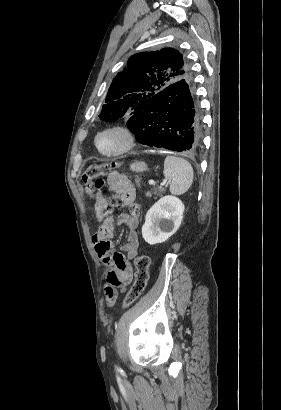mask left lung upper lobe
<instances>
[{
  "instance_id": "1",
  "label": "left lung upper lobe",
  "mask_w": 281,
  "mask_h": 410,
  "mask_svg": "<svg viewBox=\"0 0 281 410\" xmlns=\"http://www.w3.org/2000/svg\"><path fill=\"white\" fill-rule=\"evenodd\" d=\"M182 79H191V71L177 50L135 54L113 79L99 118L113 122L140 113L151 97Z\"/></svg>"
}]
</instances>
